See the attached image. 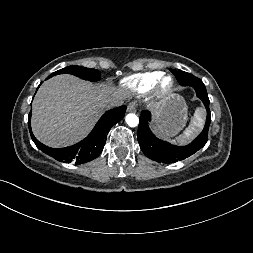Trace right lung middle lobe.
<instances>
[{
    "label": "right lung middle lobe",
    "instance_id": "obj_1",
    "mask_svg": "<svg viewBox=\"0 0 253 253\" xmlns=\"http://www.w3.org/2000/svg\"><path fill=\"white\" fill-rule=\"evenodd\" d=\"M63 73H69L73 74L75 76H78L82 79H86L89 81H98L101 78V73L98 70L85 68L81 66H68L61 70H58L54 73H52L50 76H54L57 74H63Z\"/></svg>",
    "mask_w": 253,
    "mask_h": 253
}]
</instances>
